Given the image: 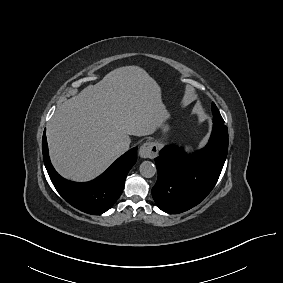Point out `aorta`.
Masks as SVG:
<instances>
[{
    "label": "aorta",
    "mask_w": 283,
    "mask_h": 283,
    "mask_svg": "<svg viewBox=\"0 0 283 283\" xmlns=\"http://www.w3.org/2000/svg\"><path fill=\"white\" fill-rule=\"evenodd\" d=\"M140 173L145 178H151L156 173V167L152 162L144 161L140 165Z\"/></svg>",
    "instance_id": "1"
}]
</instances>
